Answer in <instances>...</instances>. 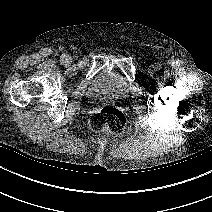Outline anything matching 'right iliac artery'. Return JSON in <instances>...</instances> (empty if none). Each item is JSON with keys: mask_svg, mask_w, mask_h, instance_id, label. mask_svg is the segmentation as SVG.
<instances>
[{"mask_svg": "<svg viewBox=\"0 0 212 212\" xmlns=\"http://www.w3.org/2000/svg\"><path fill=\"white\" fill-rule=\"evenodd\" d=\"M65 57H66V55H62L61 56V61H64Z\"/></svg>", "mask_w": 212, "mask_h": 212, "instance_id": "1", "label": "right iliac artery"}]
</instances>
